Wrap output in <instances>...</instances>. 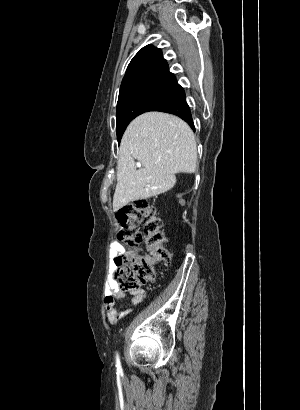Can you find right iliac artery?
Here are the masks:
<instances>
[{"label": "right iliac artery", "instance_id": "obj_1", "mask_svg": "<svg viewBox=\"0 0 300 410\" xmlns=\"http://www.w3.org/2000/svg\"><path fill=\"white\" fill-rule=\"evenodd\" d=\"M116 367H117V370L121 369V364H120V359H119L118 353H117V356H116Z\"/></svg>", "mask_w": 300, "mask_h": 410}]
</instances>
